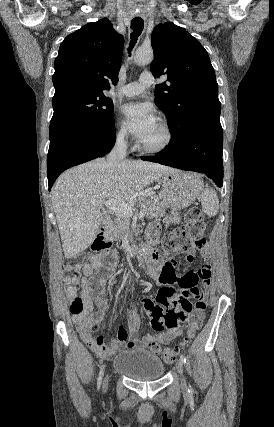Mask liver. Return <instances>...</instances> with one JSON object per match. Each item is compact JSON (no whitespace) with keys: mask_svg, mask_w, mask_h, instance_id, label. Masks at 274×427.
<instances>
[{"mask_svg":"<svg viewBox=\"0 0 274 427\" xmlns=\"http://www.w3.org/2000/svg\"><path fill=\"white\" fill-rule=\"evenodd\" d=\"M172 172L173 168L141 160L108 166L105 158H97L61 174L51 198L65 257H75L94 241L103 221L95 202H130L151 182Z\"/></svg>","mask_w":274,"mask_h":427,"instance_id":"liver-1","label":"liver"}]
</instances>
